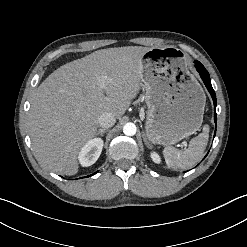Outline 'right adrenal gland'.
<instances>
[{"label":"right adrenal gland","mask_w":247,"mask_h":247,"mask_svg":"<svg viewBox=\"0 0 247 247\" xmlns=\"http://www.w3.org/2000/svg\"><path fill=\"white\" fill-rule=\"evenodd\" d=\"M105 131H106V129H103V128H102V129H99V130L97 131V135H100L101 137H103Z\"/></svg>","instance_id":"obj_1"}]
</instances>
